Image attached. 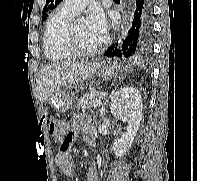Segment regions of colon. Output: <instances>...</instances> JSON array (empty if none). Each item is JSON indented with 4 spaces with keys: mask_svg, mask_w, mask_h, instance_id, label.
<instances>
[{
    "mask_svg": "<svg viewBox=\"0 0 197 181\" xmlns=\"http://www.w3.org/2000/svg\"><path fill=\"white\" fill-rule=\"evenodd\" d=\"M63 129V124L59 121H52L50 124H49V131L51 134L55 135L56 137H58L61 133ZM60 149L62 151H66L68 149V143L66 140H63L61 142V145H60Z\"/></svg>",
    "mask_w": 197,
    "mask_h": 181,
    "instance_id": "1",
    "label": "colon"
}]
</instances>
